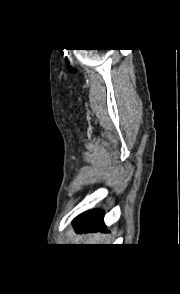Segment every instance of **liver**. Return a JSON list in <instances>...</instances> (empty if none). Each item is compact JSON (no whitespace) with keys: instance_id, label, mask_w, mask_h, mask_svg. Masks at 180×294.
<instances>
[{"instance_id":"1","label":"liver","mask_w":180,"mask_h":294,"mask_svg":"<svg viewBox=\"0 0 180 294\" xmlns=\"http://www.w3.org/2000/svg\"><path fill=\"white\" fill-rule=\"evenodd\" d=\"M105 241V236L101 233L87 236L86 242L88 244H102Z\"/></svg>"}]
</instances>
